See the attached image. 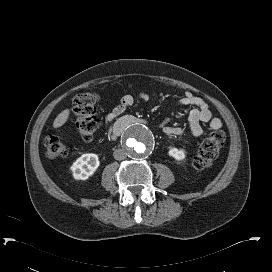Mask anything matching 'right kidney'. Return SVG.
Masks as SVG:
<instances>
[{
  "label": "right kidney",
  "instance_id": "ca27d5eb",
  "mask_svg": "<svg viewBox=\"0 0 272 272\" xmlns=\"http://www.w3.org/2000/svg\"><path fill=\"white\" fill-rule=\"evenodd\" d=\"M100 162L96 154H83L70 167L73 177L76 180H87L94 174Z\"/></svg>",
  "mask_w": 272,
  "mask_h": 272
}]
</instances>
